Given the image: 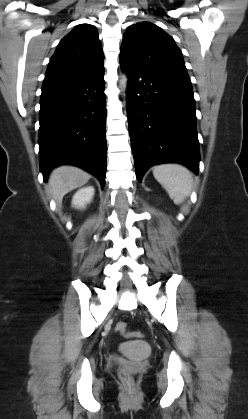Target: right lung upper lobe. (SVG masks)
<instances>
[{
	"mask_svg": "<svg viewBox=\"0 0 248 419\" xmlns=\"http://www.w3.org/2000/svg\"><path fill=\"white\" fill-rule=\"evenodd\" d=\"M103 51L96 28L89 24L75 27L58 44L43 85L76 80L103 68Z\"/></svg>",
	"mask_w": 248,
	"mask_h": 419,
	"instance_id": "obj_1",
	"label": "right lung upper lobe"
}]
</instances>
